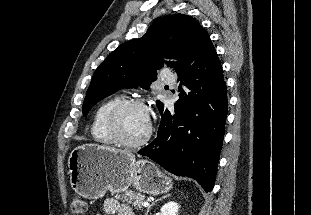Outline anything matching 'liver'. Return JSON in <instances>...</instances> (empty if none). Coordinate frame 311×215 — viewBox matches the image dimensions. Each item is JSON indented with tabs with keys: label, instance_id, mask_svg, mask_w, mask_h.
Instances as JSON below:
<instances>
[{
	"label": "liver",
	"instance_id": "1",
	"mask_svg": "<svg viewBox=\"0 0 311 215\" xmlns=\"http://www.w3.org/2000/svg\"><path fill=\"white\" fill-rule=\"evenodd\" d=\"M102 147H104V148H106V149H108V150H110V151H112V152H121V153L128 154L129 156H131V157L134 158V156H133L131 153L127 152V151L118 150V149H116V148H113V147H110V146H104V145H103Z\"/></svg>",
	"mask_w": 311,
	"mask_h": 215
}]
</instances>
